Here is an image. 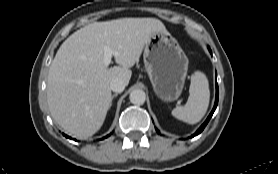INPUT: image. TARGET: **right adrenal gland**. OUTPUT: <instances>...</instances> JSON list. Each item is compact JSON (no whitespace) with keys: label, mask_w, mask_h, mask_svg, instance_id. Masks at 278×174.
<instances>
[{"label":"right adrenal gland","mask_w":278,"mask_h":174,"mask_svg":"<svg viewBox=\"0 0 278 174\" xmlns=\"http://www.w3.org/2000/svg\"><path fill=\"white\" fill-rule=\"evenodd\" d=\"M118 94L116 93V94H114V95H112V98H111V103H110V107H111V105H112V100L117 96Z\"/></svg>","instance_id":"right-adrenal-gland-1"}]
</instances>
